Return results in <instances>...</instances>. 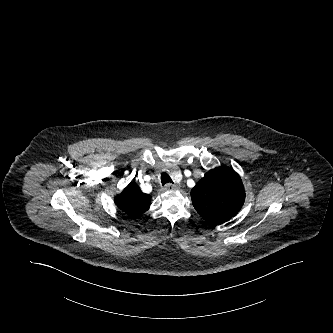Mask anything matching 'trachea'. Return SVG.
I'll return each mask as SVG.
<instances>
[{"mask_svg":"<svg viewBox=\"0 0 333 333\" xmlns=\"http://www.w3.org/2000/svg\"><path fill=\"white\" fill-rule=\"evenodd\" d=\"M161 182H162V185H165L166 183H173L171 177L166 172L162 173Z\"/></svg>","mask_w":333,"mask_h":333,"instance_id":"trachea-1","label":"trachea"}]
</instances>
